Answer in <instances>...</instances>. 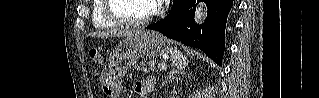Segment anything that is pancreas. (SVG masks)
<instances>
[{
    "mask_svg": "<svg viewBox=\"0 0 319 98\" xmlns=\"http://www.w3.org/2000/svg\"><path fill=\"white\" fill-rule=\"evenodd\" d=\"M135 68L141 72L148 74L150 71L156 72V65L154 60H142L139 65H136Z\"/></svg>",
    "mask_w": 319,
    "mask_h": 98,
    "instance_id": "cf45deb5",
    "label": "pancreas"
}]
</instances>
